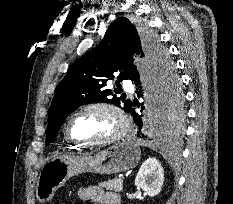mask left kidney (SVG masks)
<instances>
[{"label": "left kidney", "instance_id": "5707ae66", "mask_svg": "<svg viewBox=\"0 0 233 204\" xmlns=\"http://www.w3.org/2000/svg\"><path fill=\"white\" fill-rule=\"evenodd\" d=\"M164 182V171L155 158H148L140 167L135 179V185L148 196L154 197L161 191Z\"/></svg>", "mask_w": 233, "mask_h": 204}]
</instances>
